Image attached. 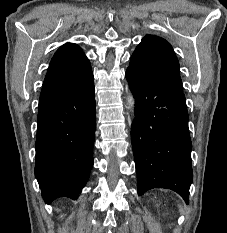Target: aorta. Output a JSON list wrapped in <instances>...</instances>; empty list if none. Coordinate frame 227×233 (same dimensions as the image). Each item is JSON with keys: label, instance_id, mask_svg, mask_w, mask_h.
Wrapping results in <instances>:
<instances>
[{"label": "aorta", "instance_id": "obj_1", "mask_svg": "<svg viewBox=\"0 0 227 233\" xmlns=\"http://www.w3.org/2000/svg\"><path fill=\"white\" fill-rule=\"evenodd\" d=\"M127 102L129 109L133 111L135 107V99L132 94H129Z\"/></svg>", "mask_w": 227, "mask_h": 233}]
</instances>
